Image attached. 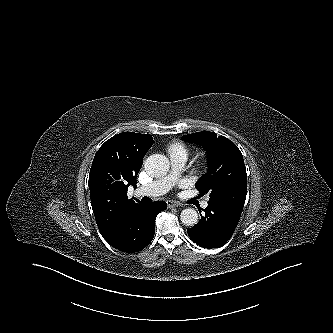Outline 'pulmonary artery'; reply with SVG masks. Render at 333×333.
<instances>
[{
  "mask_svg": "<svg viewBox=\"0 0 333 333\" xmlns=\"http://www.w3.org/2000/svg\"><path fill=\"white\" fill-rule=\"evenodd\" d=\"M186 159L187 158L183 155L171 156L172 171L167 176L140 187L137 189L136 194L149 197L165 194L178 179L179 171L184 167ZM208 200L209 198H206L202 202L203 208L208 206Z\"/></svg>",
  "mask_w": 333,
  "mask_h": 333,
  "instance_id": "e3ab8cb5",
  "label": "pulmonary artery"
}]
</instances>
